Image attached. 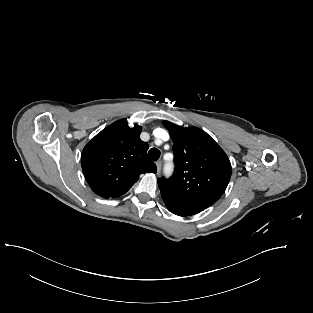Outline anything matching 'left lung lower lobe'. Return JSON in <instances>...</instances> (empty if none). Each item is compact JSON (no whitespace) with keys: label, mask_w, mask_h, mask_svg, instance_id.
Returning <instances> with one entry per match:
<instances>
[{"label":"left lung lower lobe","mask_w":313,"mask_h":313,"mask_svg":"<svg viewBox=\"0 0 313 313\" xmlns=\"http://www.w3.org/2000/svg\"><path fill=\"white\" fill-rule=\"evenodd\" d=\"M162 195V199L166 205V207L168 208V210L173 213L176 214L178 216H191V215H195L199 212H201L202 210L191 207L189 205H186L184 203H181L169 196H166L164 194Z\"/></svg>","instance_id":"left-lung-lower-lobe-1"}]
</instances>
